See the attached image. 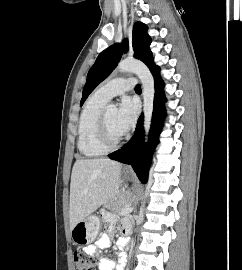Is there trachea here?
Masks as SVG:
<instances>
[{"mask_svg": "<svg viewBox=\"0 0 242 270\" xmlns=\"http://www.w3.org/2000/svg\"><path fill=\"white\" fill-rule=\"evenodd\" d=\"M135 91H136V92H141V87H140V85H139V84H137V85H136V87H135Z\"/></svg>", "mask_w": 242, "mask_h": 270, "instance_id": "1", "label": "trachea"}]
</instances>
